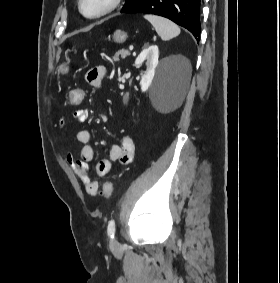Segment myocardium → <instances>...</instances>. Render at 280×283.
<instances>
[{
    "mask_svg": "<svg viewBox=\"0 0 280 283\" xmlns=\"http://www.w3.org/2000/svg\"><path fill=\"white\" fill-rule=\"evenodd\" d=\"M122 0H109L108 4L106 5V7L104 9H102L101 11L89 15L86 14L84 12L83 9V0H78V9L79 12L81 13L82 16H84L87 19H98L101 17H104L110 13H112L113 11H115L120 5H121Z\"/></svg>",
    "mask_w": 280,
    "mask_h": 283,
    "instance_id": "myocardium-1",
    "label": "myocardium"
}]
</instances>
